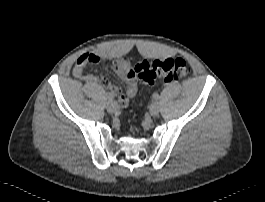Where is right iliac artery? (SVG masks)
Instances as JSON below:
<instances>
[{"label": "right iliac artery", "instance_id": "obj_1", "mask_svg": "<svg viewBox=\"0 0 265 202\" xmlns=\"http://www.w3.org/2000/svg\"><path fill=\"white\" fill-rule=\"evenodd\" d=\"M107 98H108L109 101L112 100V97H111V95L109 93H107Z\"/></svg>", "mask_w": 265, "mask_h": 202}]
</instances>
